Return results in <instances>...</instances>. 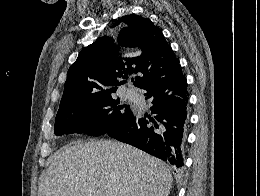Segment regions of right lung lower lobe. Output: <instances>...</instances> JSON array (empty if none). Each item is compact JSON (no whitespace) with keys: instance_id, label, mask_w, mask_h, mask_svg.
<instances>
[{"instance_id":"98d812e1","label":"right lung lower lobe","mask_w":260,"mask_h":196,"mask_svg":"<svg viewBox=\"0 0 260 196\" xmlns=\"http://www.w3.org/2000/svg\"><path fill=\"white\" fill-rule=\"evenodd\" d=\"M152 117L134 118L107 134L121 142L169 162L177 171L183 166L186 143L188 91L182 70L171 78L143 88Z\"/></svg>"}]
</instances>
